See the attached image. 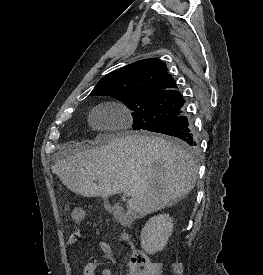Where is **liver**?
Wrapping results in <instances>:
<instances>
[{
    "label": "liver",
    "instance_id": "6515ba94",
    "mask_svg": "<svg viewBox=\"0 0 263 275\" xmlns=\"http://www.w3.org/2000/svg\"><path fill=\"white\" fill-rule=\"evenodd\" d=\"M96 141L101 143L96 148L56 155L52 172L76 194L107 198L127 190L128 214L137 218L165 208L195 186L193 158L171 140L99 134Z\"/></svg>",
    "mask_w": 263,
    "mask_h": 275
}]
</instances>
